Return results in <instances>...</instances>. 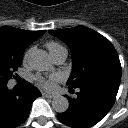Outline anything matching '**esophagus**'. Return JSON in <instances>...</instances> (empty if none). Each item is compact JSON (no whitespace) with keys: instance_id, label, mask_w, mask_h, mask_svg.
<instances>
[{"instance_id":"esophagus-1","label":"esophagus","mask_w":128,"mask_h":128,"mask_svg":"<svg viewBox=\"0 0 128 128\" xmlns=\"http://www.w3.org/2000/svg\"><path fill=\"white\" fill-rule=\"evenodd\" d=\"M42 96L44 98H54L55 97V94H52V93H48V92H42Z\"/></svg>"}]
</instances>
